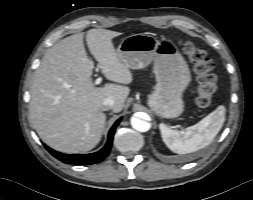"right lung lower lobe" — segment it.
<instances>
[{"label":"right lung lower lobe","instance_id":"1","mask_svg":"<svg viewBox=\"0 0 253 200\" xmlns=\"http://www.w3.org/2000/svg\"><path fill=\"white\" fill-rule=\"evenodd\" d=\"M120 119L115 122L108 134V140L106 145L98 152L91 154H62L57 152L48 146L45 148L57 159L67 164H95L102 161L110 152L113 136L115 133V129L118 126Z\"/></svg>","mask_w":253,"mask_h":200}]
</instances>
